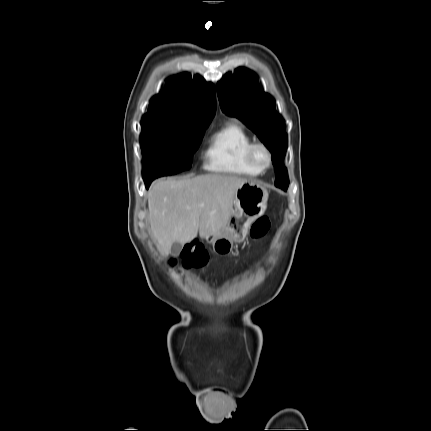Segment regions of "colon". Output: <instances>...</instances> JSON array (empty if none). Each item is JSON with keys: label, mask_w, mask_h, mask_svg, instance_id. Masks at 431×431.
Wrapping results in <instances>:
<instances>
[{"label": "colon", "mask_w": 431, "mask_h": 431, "mask_svg": "<svg viewBox=\"0 0 431 431\" xmlns=\"http://www.w3.org/2000/svg\"><path fill=\"white\" fill-rule=\"evenodd\" d=\"M269 227V219L261 217L252 225L250 235L252 238H260L267 233ZM181 258L183 265L186 267H200L207 261V253L201 246L191 245L181 253Z\"/></svg>", "instance_id": "1"}]
</instances>
